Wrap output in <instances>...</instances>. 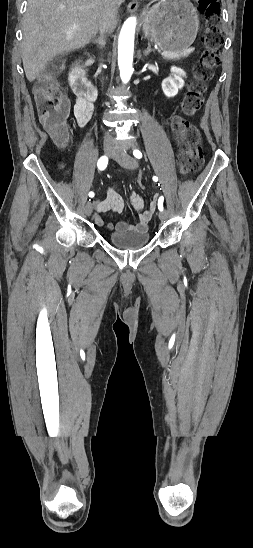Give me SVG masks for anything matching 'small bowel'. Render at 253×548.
I'll use <instances>...</instances> for the list:
<instances>
[{
	"instance_id": "obj_1",
	"label": "small bowel",
	"mask_w": 253,
	"mask_h": 548,
	"mask_svg": "<svg viewBox=\"0 0 253 548\" xmlns=\"http://www.w3.org/2000/svg\"><path fill=\"white\" fill-rule=\"evenodd\" d=\"M93 103L82 98H77L74 106V114L77 122L80 126H85L90 120L93 113ZM157 198L154 199L151 209H144V200L142 197L134 192L130 193L127 197L118 192L116 186H110L107 189L106 196L102 200H96L94 207L97 213H104L112 211L115 213H122L127 204H129L136 213L139 215V221L137 224H129L127 222H119L115 226L109 225L110 228H114L117 232H144L148 228V223L151 220ZM94 220L97 225H104L102 218L95 214Z\"/></svg>"
}]
</instances>
